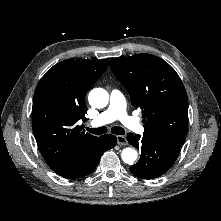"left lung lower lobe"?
<instances>
[{
    "mask_svg": "<svg viewBox=\"0 0 221 221\" xmlns=\"http://www.w3.org/2000/svg\"><path fill=\"white\" fill-rule=\"evenodd\" d=\"M128 142L141 151L137 164L130 171L144 179L163 175L176 161L183 144L164 141L155 137L128 133Z\"/></svg>",
    "mask_w": 221,
    "mask_h": 221,
    "instance_id": "0a47b994",
    "label": "left lung lower lobe"
}]
</instances>
